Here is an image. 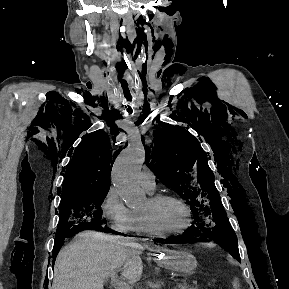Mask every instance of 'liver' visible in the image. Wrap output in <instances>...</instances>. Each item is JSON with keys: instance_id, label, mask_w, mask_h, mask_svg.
Instances as JSON below:
<instances>
[{"instance_id": "1", "label": "liver", "mask_w": 289, "mask_h": 289, "mask_svg": "<svg viewBox=\"0 0 289 289\" xmlns=\"http://www.w3.org/2000/svg\"><path fill=\"white\" fill-rule=\"evenodd\" d=\"M143 247H126L116 238L96 231H84L58 254L52 289H103L107 277L122 267L130 284L140 280Z\"/></svg>"}]
</instances>
